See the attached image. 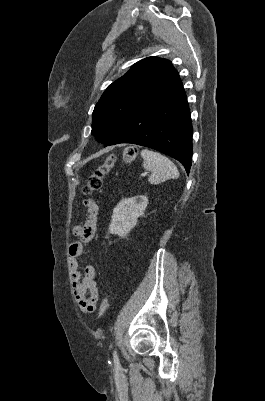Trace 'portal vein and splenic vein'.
<instances>
[{"mask_svg":"<svg viewBox=\"0 0 265 401\" xmlns=\"http://www.w3.org/2000/svg\"><path fill=\"white\" fill-rule=\"evenodd\" d=\"M145 174H147V172H142L141 176H145Z\"/></svg>","mask_w":265,"mask_h":401,"instance_id":"1","label":"portal vein and splenic vein"}]
</instances>
